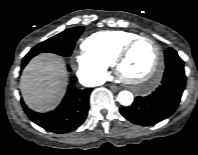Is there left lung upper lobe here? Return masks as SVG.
<instances>
[{
	"instance_id": "5c2ea615",
	"label": "left lung upper lobe",
	"mask_w": 198,
	"mask_h": 155,
	"mask_svg": "<svg viewBox=\"0 0 198 155\" xmlns=\"http://www.w3.org/2000/svg\"><path fill=\"white\" fill-rule=\"evenodd\" d=\"M173 63L183 64V60L178 56L177 52L174 49L169 48L167 51H165L166 67Z\"/></svg>"
}]
</instances>
